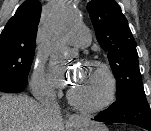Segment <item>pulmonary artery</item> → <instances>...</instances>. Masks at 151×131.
<instances>
[{"label":"pulmonary artery","mask_w":151,"mask_h":131,"mask_svg":"<svg viewBox=\"0 0 151 131\" xmlns=\"http://www.w3.org/2000/svg\"><path fill=\"white\" fill-rule=\"evenodd\" d=\"M70 42L77 47H87L91 43V34L88 29L77 27L71 33Z\"/></svg>","instance_id":"pulmonary-artery-1"}]
</instances>
